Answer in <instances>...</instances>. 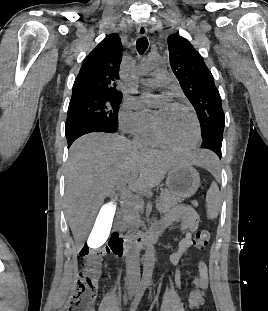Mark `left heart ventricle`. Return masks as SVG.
<instances>
[{"mask_svg":"<svg viewBox=\"0 0 268 311\" xmlns=\"http://www.w3.org/2000/svg\"><path fill=\"white\" fill-rule=\"evenodd\" d=\"M161 134L170 143L185 147L195 138V125L190 114L174 105H162L155 110Z\"/></svg>","mask_w":268,"mask_h":311,"instance_id":"left-heart-ventricle-1","label":"left heart ventricle"}]
</instances>
